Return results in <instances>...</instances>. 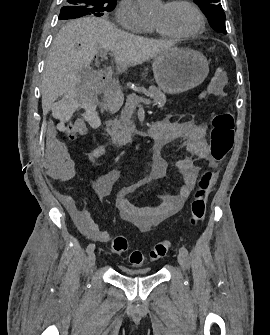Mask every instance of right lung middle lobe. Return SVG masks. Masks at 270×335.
Wrapping results in <instances>:
<instances>
[{"label":"right lung middle lobe","instance_id":"dd1d6c3e","mask_svg":"<svg viewBox=\"0 0 270 335\" xmlns=\"http://www.w3.org/2000/svg\"><path fill=\"white\" fill-rule=\"evenodd\" d=\"M64 3L59 20L75 19L85 15L100 17L116 6V0H65Z\"/></svg>","mask_w":270,"mask_h":335}]
</instances>
